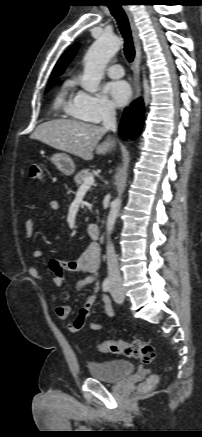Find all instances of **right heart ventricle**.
Here are the masks:
<instances>
[{
	"instance_id": "obj_1",
	"label": "right heart ventricle",
	"mask_w": 202,
	"mask_h": 437,
	"mask_svg": "<svg viewBox=\"0 0 202 437\" xmlns=\"http://www.w3.org/2000/svg\"><path fill=\"white\" fill-rule=\"evenodd\" d=\"M70 88H71V82H66L63 84V86L61 87L60 91L58 92L55 98V107L62 108L67 113L73 115L71 113L72 101L69 99Z\"/></svg>"
}]
</instances>
